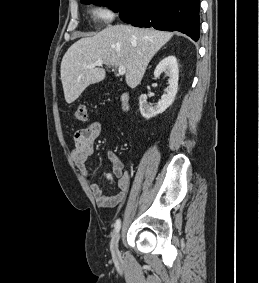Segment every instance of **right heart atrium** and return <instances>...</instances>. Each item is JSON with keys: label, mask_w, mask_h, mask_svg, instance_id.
<instances>
[{"label": "right heart atrium", "mask_w": 259, "mask_h": 283, "mask_svg": "<svg viewBox=\"0 0 259 283\" xmlns=\"http://www.w3.org/2000/svg\"><path fill=\"white\" fill-rule=\"evenodd\" d=\"M117 7L112 3H99L94 8L96 19L103 23H110L116 16Z\"/></svg>", "instance_id": "right-heart-atrium-1"}]
</instances>
